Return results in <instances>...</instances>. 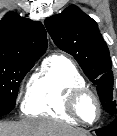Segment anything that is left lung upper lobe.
<instances>
[{
	"instance_id": "left-lung-upper-lobe-1",
	"label": "left lung upper lobe",
	"mask_w": 117,
	"mask_h": 136,
	"mask_svg": "<svg viewBox=\"0 0 117 136\" xmlns=\"http://www.w3.org/2000/svg\"><path fill=\"white\" fill-rule=\"evenodd\" d=\"M45 26L55 44L71 54L90 81L97 85L104 109L116 113L111 58L97 23L77 6L70 5L61 14L46 19Z\"/></svg>"
}]
</instances>
